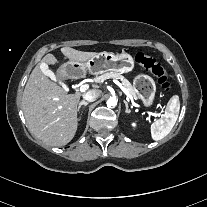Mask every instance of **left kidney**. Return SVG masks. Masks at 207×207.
<instances>
[{
	"mask_svg": "<svg viewBox=\"0 0 207 207\" xmlns=\"http://www.w3.org/2000/svg\"><path fill=\"white\" fill-rule=\"evenodd\" d=\"M132 126L135 127L136 126L135 123H133Z\"/></svg>",
	"mask_w": 207,
	"mask_h": 207,
	"instance_id": "1",
	"label": "left kidney"
}]
</instances>
